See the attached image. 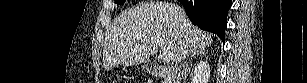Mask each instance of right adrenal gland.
Wrapping results in <instances>:
<instances>
[{"label":"right adrenal gland","instance_id":"1","mask_svg":"<svg viewBox=\"0 0 307 83\" xmlns=\"http://www.w3.org/2000/svg\"><path fill=\"white\" fill-rule=\"evenodd\" d=\"M206 53H205V49H192L191 50V56H190V59H189V63H191V60L193 57L195 56H205Z\"/></svg>","mask_w":307,"mask_h":83}]
</instances>
